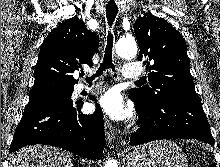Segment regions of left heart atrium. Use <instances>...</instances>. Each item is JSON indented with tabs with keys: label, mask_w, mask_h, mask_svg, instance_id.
<instances>
[{
	"label": "left heart atrium",
	"mask_w": 220,
	"mask_h": 167,
	"mask_svg": "<svg viewBox=\"0 0 220 167\" xmlns=\"http://www.w3.org/2000/svg\"><path fill=\"white\" fill-rule=\"evenodd\" d=\"M98 106L107 116L115 120L124 119L130 114V110L123 104L121 96L114 92L103 95Z\"/></svg>",
	"instance_id": "1"
}]
</instances>
